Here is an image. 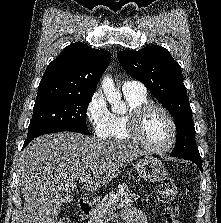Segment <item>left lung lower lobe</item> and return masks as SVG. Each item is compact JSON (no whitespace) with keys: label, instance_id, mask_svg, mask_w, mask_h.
<instances>
[{"label":"left lung lower lobe","instance_id":"1","mask_svg":"<svg viewBox=\"0 0 221 223\" xmlns=\"http://www.w3.org/2000/svg\"><path fill=\"white\" fill-rule=\"evenodd\" d=\"M194 162L202 171L201 157H180Z\"/></svg>","mask_w":221,"mask_h":223}]
</instances>
